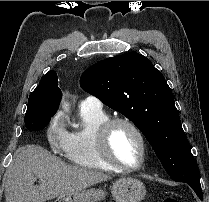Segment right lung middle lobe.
<instances>
[{"instance_id":"dd1d6c3e","label":"right lung middle lobe","mask_w":209,"mask_h":202,"mask_svg":"<svg viewBox=\"0 0 209 202\" xmlns=\"http://www.w3.org/2000/svg\"><path fill=\"white\" fill-rule=\"evenodd\" d=\"M55 96L56 91L50 86L35 88L29 96L24 118L27 129L41 130L49 123L58 109Z\"/></svg>"}]
</instances>
